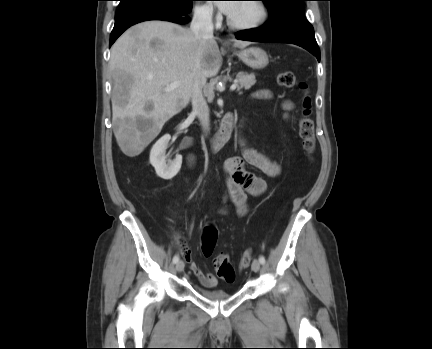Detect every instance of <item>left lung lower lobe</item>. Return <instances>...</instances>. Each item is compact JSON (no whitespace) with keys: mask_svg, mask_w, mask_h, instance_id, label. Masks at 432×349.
I'll use <instances>...</instances> for the list:
<instances>
[{"mask_svg":"<svg viewBox=\"0 0 432 349\" xmlns=\"http://www.w3.org/2000/svg\"><path fill=\"white\" fill-rule=\"evenodd\" d=\"M235 36L247 41L295 44L311 52L320 61L314 29L307 20L276 19L259 28L239 31Z\"/></svg>","mask_w":432,"mask_h":349,"instance_id":"0a47b994","label":"left lung lower lobe"}]
</instances>
